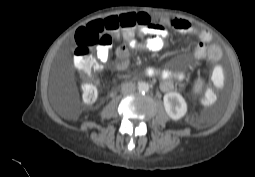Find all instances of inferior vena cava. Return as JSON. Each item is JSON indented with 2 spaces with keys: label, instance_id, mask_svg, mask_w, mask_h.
Here are the masks:
<instances>
[{
  "label": "inferior vena cava",
  "instance_id": "inferior-vena-cava-1",
  "mask_svg": "<svg viewBox=\"0 0 255 177\" xmlns=\"http://www.w3.org/2000/svg\"><path fill=\"white\" fill-rule=\"evenodd\" d=\"M136 90V86L135 84L131 83V82H127V83H124L122 84L121 86V91L122 93L124 94H129V93H132Z\"/></svg>",
  "mask_w": 255,
  "mask_h": 177
}]
</instances>
